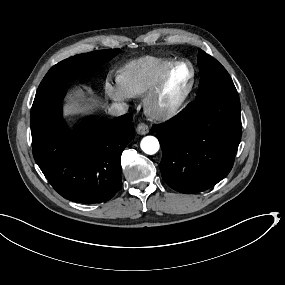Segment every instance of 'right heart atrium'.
<instances>
[{"instance_id": "right-heart-atrium-1", "label": "right heart atrium", "mask_w": 285, "mask_h": 285, "mask_svg": "<svg viewBox=\"0 0 285 285\" xmlns=\"http://www.w3.org/2000/svg\"><path fill=\"white\" fill-rule=\"evenodd\" d=\"M104 89L107 97L113 102H125L129 101L130 99L129 95L125 92L122 86L112 84L109 76L105 81Z\"/></svg>"}]
</instances>
